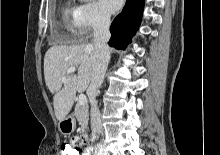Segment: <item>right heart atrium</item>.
<instances>
[{
    "label": "right heart atrium",
    "mask_w": 220,
    "mask_h": 155,
    "mask_svg": "<svg viewBox=\"0 0 220 155\" xmlns=\"http://www.w3.org/2000/svg\"><path fill=\"white\" fill-rule=\"evenodd\" d=\"M109 24L110 16L96 3L89 2L78 7L77 28L80 34H92L107 28Z\"/></svg>",
    "instance_id": "1"
}]
</instances>
